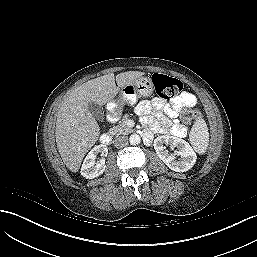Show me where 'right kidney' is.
<instances>
[{
  "instance_id": "ca27d5eb",
  "label": "right kidney",
  "mask_w": 257,
  "mask_h": 257,
  "mask_svg": "<svg viewBox=\"0 0 257 257\" xmlns=\"http://www.w3.org/2000/svg\"><path fill=\"white\" fill-rule=\"evenodd\" d=\"M100 153L103 156L107 155L108 149L106 145H97L87 154L81 167V175L83 177L93 179L105 171L106 165L103 158L95 163V159Z\"/></svg>"
}]
</instances>
